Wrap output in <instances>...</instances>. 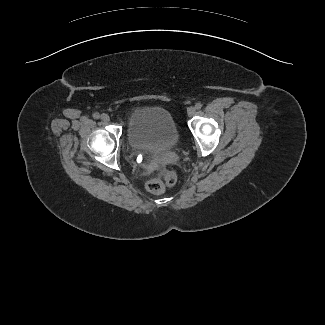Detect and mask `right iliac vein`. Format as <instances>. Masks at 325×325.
Wrapping results in <instances>:
<instances>
[{
	"label": "right iliac vein",
	"mask_w": 325,
	"mask_h": 325,
	"mask_svg": "<svg viewBox=\"0 0 325 325\" xmlns=\"http://www.w3.org/2000/svg\"><path fill=\"white\" fill-rule=\"evenodd\" d=\"M101 119L104 121V122H108V121H110V117H109V115H107V114H102L101 115Z\"/></svg>",
	"instance_id": "1"
}]
</instances>
